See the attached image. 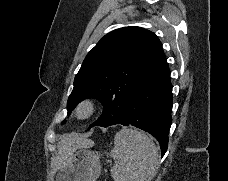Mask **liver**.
<instances>
[{"instance_id":"6515ba94","label":"liver","mask_w":228,"mask_h":181,"mask_svg":"<svg viewBox=\"0 0 228 181\" xmlns=\"http://www.w3.org/2000/svg\"><path fill=\"white\" fill-rule=\"evenodd\" d=\"M93 145L94 143L91 139H87V137H83V135H78V133L64 135L57 145L58 155L53 159V173H55L57 169H62L63 165L70 163L71 157L76 149H82V147L89 149V147H93Z\"/></svg>"}]
</instances>
